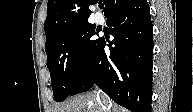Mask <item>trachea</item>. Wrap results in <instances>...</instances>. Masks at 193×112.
Wrapping results in <instances>:
<instances>
[{
  "label": "trachea",
  "mask_w": 193,
  "mask_h": 112,
  "mask_svg": "<svg viewBox=\"0 0 193 112\" xmlns=\"http://www.w3.org/2000/svg\"><path fill=\"white\" fill-rule=\"evenodd\" d=\"M104 6L103 5H100V8L102 9Z\"/></svg>",
  "instance_id": "trachea-1"
}]
</instances>
